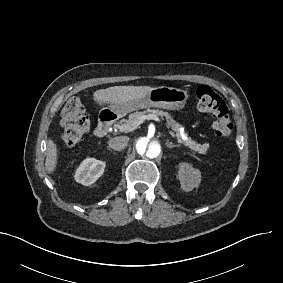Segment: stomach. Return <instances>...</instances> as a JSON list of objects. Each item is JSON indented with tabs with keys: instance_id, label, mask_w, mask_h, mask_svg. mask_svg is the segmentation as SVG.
Returning a JSON list of instances; mask_svg holds the SVG:
<instances>
[{
	"instance_id": "1",
	"label": "stomach",
	"mask_w": 283,
	"mask_h": 283,
	"mask_svg": "<svg viewBox=\"0 0 283 283\" xmlns=\"http://www.w3.org/2000/svg\"><path fill=\"white\" fill-rule=\"evenodd\" d=\"M188 93L185 90L161 86L151 88L149 92L140 99L128 100L125 102L113 101L110 109L118 118L125 116L135 110L149 107L162 108L168 110H179L185 106Z\"/></svg>"
}]
</instances>
